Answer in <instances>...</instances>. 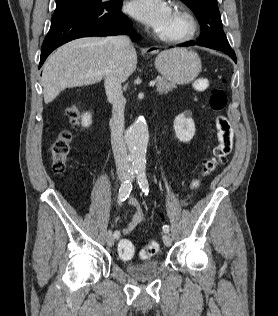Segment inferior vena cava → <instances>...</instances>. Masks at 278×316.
<instances>
[{"label":"inferior vena cava","mask_w":278,"mask_h":316,"mask_svg":"<svg viewBox=\"0 0 278 316\" xmlns=\"http://www.w3.org/2000/svg\"><path fill=\"white\" fill-rule=\"evenodd\" d=\"M110 42L113 45V56L106 69L105 90L112 104L111 144L117 172L124 173L130 170L131 165L123 136L126 100L121 90V81L117 77V63L121 60L125 49L130 46V39L126 35H120L111 37Z\"/></svg>","instance_id":"obj_1"}]
</instances>
